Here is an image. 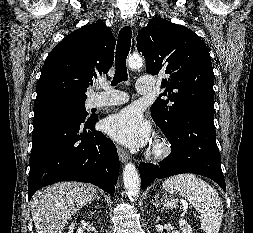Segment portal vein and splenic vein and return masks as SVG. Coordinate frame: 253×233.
Wrapping results in <instances>:
<instances>
[{
	"label": "portal vein and splenic vein",
	"instance_id": "18ae733b",
	"mask_svg": "<svg viewBox=\"0 0 253 233\" xmlns=\"http://www.w3.org/2000/svg\"><path fill=\"white\" fill-rule=\"evenodd\" d=\"M186 211H187V205L185 204L183 208V213H185Z\"/></svg>",
	"mask_w": 253,
	"mask_h": 233
}]
</instances>
